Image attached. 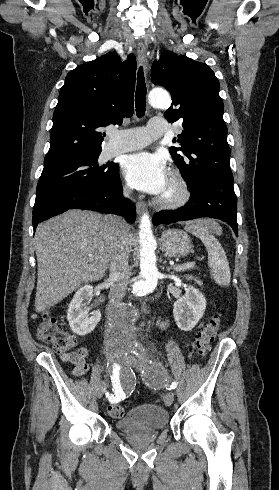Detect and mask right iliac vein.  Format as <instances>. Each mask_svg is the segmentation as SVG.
I'll list each match as a JSON object with an SVG mask.
<instances>
[{
    "mask_svg": "<svg viewBox=\"0 0 279 490\" xmlns=\"http://www.w3.org/2000/svg\"><path fill=\"white\" fill-rule=\"evenodd\" d=\"M108 360H109L111 363H115V362L117 361V357H116V355H115V354H109V355H108ZM106 385H107V383H106V382H104V386H106ZM102 393H103V390H102V389H99V390H98V394H97V396L100 398V397H101V395H102Z\"/></svg>",
    "mask_w": 279,
    "mask_h": 490,
    "instance_id": "right-iliac-vein-1",
    "label": "right iliac vein"
}]
</instances>
